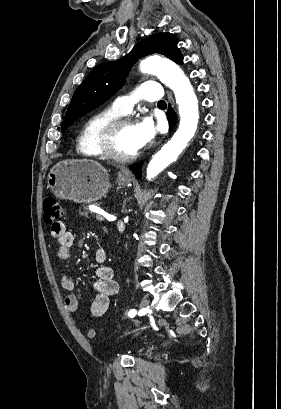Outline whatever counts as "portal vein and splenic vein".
<instances>
[{"label": "portal vein and splenic vein", "instance_id": "18ae733b", "mask_svg": "<svg viewBox=\"0 0 281 409\" xmlns=\"http://www.w3.org/2000/svg\"><path fill=\"white\" fill-rule=\"evenodd\" d=\"M91 203H94L93 201H90ZM99 221H104L106 219L105 215H96Z\"/></svg>", "mask_w": 281, "mask_h": 409}]
</instances>
